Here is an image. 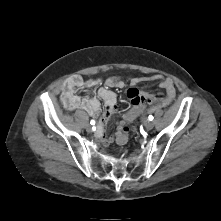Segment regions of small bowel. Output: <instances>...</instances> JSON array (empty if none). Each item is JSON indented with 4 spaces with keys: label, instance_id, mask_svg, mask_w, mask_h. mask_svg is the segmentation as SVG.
<instances>
[{
    "label": "small bowel",
    "instance_id": "1",
    "mask_svg": "<svg viewBox=\"0 0 221 221\" xmlns=\"http://www.w3.org/2000/svg\"><path fill=\"white\" fill-rule=\"evenodd\" d=\"M129 81L133 88L128 91V98L132 103V107L128 111L133 110L137 103L146 100V95L148 94L134 88L143 81H158L159 86L165 91L164 93L157 94L160 97V101L154 104L167 105L176 95L174 82L168 77L164 78L160 75L151 77H131ZM124 85V80L119 76H111L104 81L99 78L84 80L80 76H74L65 84V88L62 92V101L67 109H82L90 116L97 118L101 108L99 100L96 97L82 98L77 94V91L80 88L95 90L100 86L98 89V96L104 102V113L98 124L96 134L103 144L108 145L111 144L116 137V134L114 137L105 134L106 124L117 110V95L112 89H121Z\"/></svg>",
    "mask_w": 221,
    "mask_h": 221
}]
</instances>
